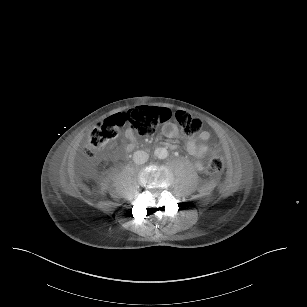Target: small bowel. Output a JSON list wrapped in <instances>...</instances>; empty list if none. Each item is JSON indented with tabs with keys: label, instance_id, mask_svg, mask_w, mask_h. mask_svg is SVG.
Listing matches in <instances>:
<instances>
[{
	"label": "small bowel",
	"instance_id": "c3829d8e",
	"mask_svg": "<svg viewBox=\"0 0 307 307\" xmlns=\"http://www.w3.org/2000/svg\"><path fill=\"white\" fill-rule=\"evenodd\" d=\"M163 134L168 138H175L179 135V130L174 124L167 123L163 127ZM210 137V133L206 130L199 132L195 136L189 137L186 144V148L189 154L197 158H202L204 155H206L210 151V148L206 145V142L209 141ZM126 138L128 141V148H133L137 143L134 132L128 130L126 132ZM168 147L173 149L175 148V145L168 144ZM195 167L199 171L204 170V165L200 161L196 162Z\"/></svg>",
	"mask_w": 307,
	"mask_h": 307
}]
</instances>
